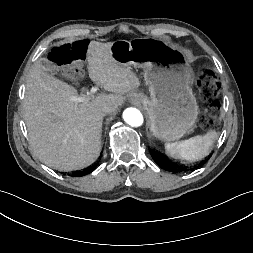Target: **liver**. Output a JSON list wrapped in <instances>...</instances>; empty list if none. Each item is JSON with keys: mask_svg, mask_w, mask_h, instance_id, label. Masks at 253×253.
<instances>
[{"mask_svg": "<svg viewBox=\"0 0 253 253\" xmlns=\"http://www.w3.org/2000/svg\"><path fill=\"white\" fill-rule=\"evenodd\" d=\"M112 45L91 41L86 54L89 77L112 94L100 93L79 103L74 100L77 89L45 72L41 60L30 71L24 120L34 154L47 166L71 171L92 164L101 150L102 106L111 104L116 110L124 94L140 87L130 67L112 57Z\"/></svg>", "mask_w": 253, "mask_h": 253, "instance_id": "6515ba94", "label": "liver"}]
</instances>
